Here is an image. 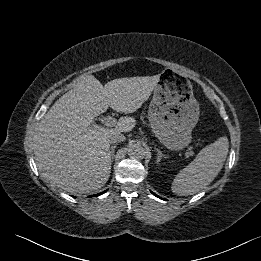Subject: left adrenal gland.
Masks as SVG:
<instances>
[{
	"instance_id": "a2214340",
	"label": "left adrenal gland",
	"mask_w": 261,
	"mask_h": 261,
	"mask_svg": "<svg viewBox=\"0 0 261 261\" xmlns=\"http://www.w3.org/2000/svg\"><path fill=\"white\" fill-rule=\"evenodd\" d=\"M156 150H157V163H159L163 158H168L166 155L162 153L160 149L156 148Z\"/></svg>"
}]
</instances>
